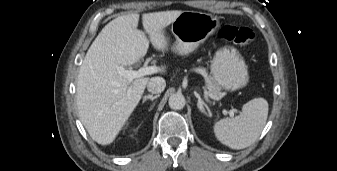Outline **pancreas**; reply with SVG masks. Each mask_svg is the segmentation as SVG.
<instances>
[{
  "instance_id": "obj_1",
  "label": "pancreas",
  "mask_w": 337,
  "mask_h": 171,
  "mask_svg": "<svg viewBox=\"0 0 337 171\" xmlns=\"http://www.w3.org/2000/svg\"><path fill=\"white\" fill-rule=\"evenodd\" d=\"M196 71L204 75L206 81V88L209 90L211 94L213 95L220 94L221 87L214 81V79L211 76L207 74L205 68H198L196 69Z\"/></svg>"
}]
</instances>
